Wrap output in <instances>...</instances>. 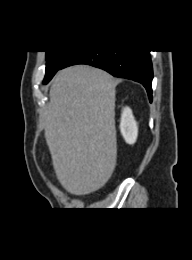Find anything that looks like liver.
I'll return each mask as SVG.
<instances>
[{
    "label": "liver",
    "instance_id": "obj_1",
    "mask_svg": "<svg viewBox=\"0 0 192 260\" xmlns=\"http://www.w3.org/2000/svg\"><path fill=\"white\" fill-rule=\"evenodd\" d=\"M107 72L76 65L59 71L45 110V139L62 187L74 195L100 189L117 156L115 87Z\"/></svg>",
    "mask_w": 192,
    "mask_h": 260
}]
</instances>
